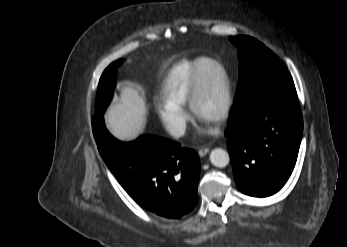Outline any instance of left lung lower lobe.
<instances>
[{
    "label": "left lung lower lobe",
    "mask_w": 347,
    "mask_h": 247,
    "mask_svg": "<svg viewBox=\"0 0 347 247\" xmlns=\"http://www.w3.org/2000/svg\"><path fill=\"white\" fill-rule=\"evenodd\" d=\"M303 119L293 79L277 72L235 100L225 136L236 185L254 197L277 193L296 164Z\"/></svg>",
    "instance_id": "1"
}]
</instances>
